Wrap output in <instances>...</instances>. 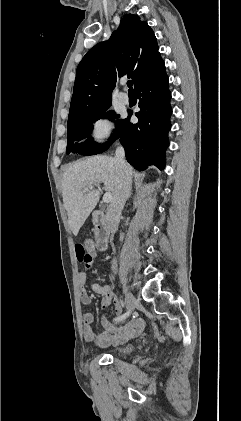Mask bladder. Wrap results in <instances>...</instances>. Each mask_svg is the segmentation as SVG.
<instances>
[{
	"mask_svg": "<svg viewBox=\"0 0 241 421\" xmlns=\"http://www.w3.org/2000/svg\"><path fill=\"white\" fill-rule=\"evenodd\" d=\"M135 350L134 345H125L119 348H116L110 352V354L114 356H126L130 353H132Z\"/></svg>",
	"mask_w": 241,
	"mask_h": 421,
	"instance_id": "bladder-1",
	"label": "bladder"
}]
</instances>
